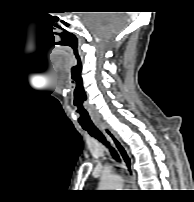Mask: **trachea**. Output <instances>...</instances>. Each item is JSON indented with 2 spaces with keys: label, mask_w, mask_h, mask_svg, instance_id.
I'll use <instances>...</instances> for the list:
<instances>
[{
  "label": "trachea",
  "mask_w": 194,
  "mask_h": 202,
  "mask_svg": "<svg viewBox=\"0 0 194 202\" xmlns=\"http://www.w3.org/2000/svg\"><path fill=\"white\" fill-rule=\"evenodd\" d=\"M82 128L86 130L92 137H95L100 142H102L106 147H108L112 157L116 161L120 162V157L117 154V152L114 150V148L110 146L109 142H107L103 134L94 125H82Z\"/></svg>",
  "instance_id": "trachea-1"
}]
</instances>
